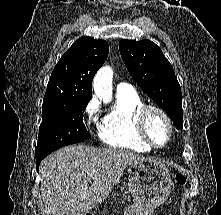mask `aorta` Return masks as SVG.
<instances>
[{
	"label": "aorta",
	"mask_w": 221,
	"mask_h": 215,
	"mask_svg": "<svg viewBox=\"0 0 221 215\" xmlns=\"http://www.w3.org/2000/svg\"><path fill=\"white\" fill-rule=\"evenodd\" d=\"M112 78L113 70L110 66H104L97 72L93 81V89L97 97L106 101L111 100Z\"/></svg>",
	"instance_id": "762f6f07"
}]
</instances>
